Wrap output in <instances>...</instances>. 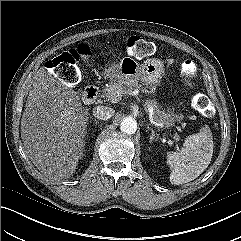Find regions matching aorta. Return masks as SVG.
Listing matches in <instances>:
<instances>
[{"label": "aorta", "instance_id": "obj_1", "mask_svg": "<svg viewBox=\"0 0 241 241\" xmlns=\"http://www.w3.org/2000/svg\"><path fill=\"white\" fill-rule=\"evenodd\" d=\"M120 130L127 134H134L137 130V122L131 117H126L120 124Z\"/></svg>", "mask_w": 241, "mask_h": 241}]
</instances>
